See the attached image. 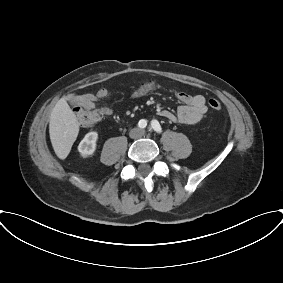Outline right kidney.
<instances>
[{
	"label": "right kidney",
	"instance_id": "right-kidney-1",
	"mask_svg": "<svg viewBox=\"0 0 283 283\" xmlns=\"http://www.w3.org/2000/svg\"><path fill=\"white\" fill-rule=\"evenodd\" d=\"M97 139L98 133L95 131L89 132L85 135L78 146V151L80 152L81 156L88 157L94 154L96 150Z\"/></svg>",
	"mask_w": 283,
	"mask_h": 283
}]
</instances>
